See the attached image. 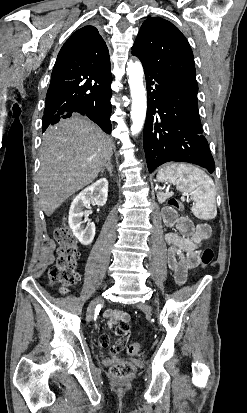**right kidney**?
Here are the masks:
<instances>
[{"label": "right kidney", "mask_w": 247, "mask_h": 413, "mask_svg": "<svg viewBox=\"0 0 247 413\" xmlns=\"http://www.w3.org/2000/svg\"><path fill=\"white\" fill-rule=\"evenodd\" d=\"M108 180L107 178H99L84 190H81L71 202L69 211V227L73 231V235L77 237L81 245H90L95 237V225L90 223L87 211L89 204H98V207H103L108 196ZM85 215V221H88L86 227L82 225V217Z\"/></svg>", "instance_id": "obj_1"}]
</instances>
